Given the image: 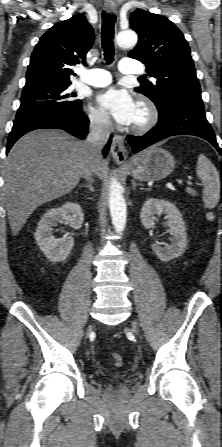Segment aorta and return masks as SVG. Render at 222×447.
Wrapping results in <instances>:
<instances>
[{
  "label": "aorta",
  "mask_w": 222,
  "mask_h": 447,
  "mask_svg": "<svg viewBox=\"0 0 222 447\" xmlns=\"http://www.w3.org/2000/svg\"><path fill=\"white\" fill-rule=\"evenodd\" d=\"M137 34L133 30H125L118 33L116 42L119 47L129 48L136 45ZM122 186L115 178H111L109 185V209L112 224L117 232L124 230L126 225V202L121 193Z\"/></svg>",
  "instance_id": "obj_1"
}]
</instances>
